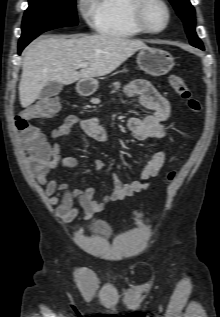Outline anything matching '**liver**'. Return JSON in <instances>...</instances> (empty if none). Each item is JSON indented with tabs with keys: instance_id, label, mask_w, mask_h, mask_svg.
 I'll return each instance as SVG.
<instances>
[{
	"instance_id": "6515ba94",
	"label": "liver",
	"mask_w": 220,
	"mask_h": 317,
	"mask_svg": "<svg viewBox=\"0 0 220 317\" xmlns=\"http://www.w3.org/2000/svg\"><path fill=\"white\" fill-rule=\"evenodd\" d=\"M144 48L147 45L142 41L108 35L39 38L24 53L19 84L21 106L34 103L48 82L69 85L107 75ZM80 63L89 66L77 71Z\"/></svg>"
}]
</instances>
